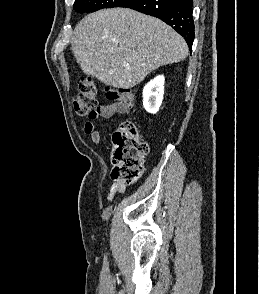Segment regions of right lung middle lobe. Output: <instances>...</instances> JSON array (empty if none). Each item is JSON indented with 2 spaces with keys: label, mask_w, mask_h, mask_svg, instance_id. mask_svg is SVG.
Returning <instances> with one entry per match:
<instances>
[{
  "label": "right lung middle lobe",
  "mask_w": 259,
  "mask_h": 294,
  "mask_svg": "<svg viewBox=\"0 0 259 294\" xmlns=\"http://www.w3.org/2000/svg\"><path fill=\"white\" fill-rule=\"evenodd\" d=\"M128 0H75L73 8L79 12H95L103 8L119 7Z\"/></svg>",
  "instance_id": "1"
}]
</instances>
